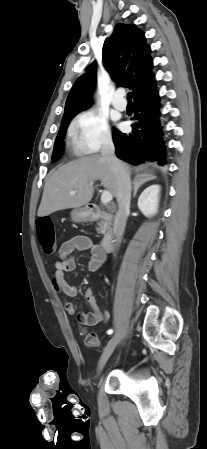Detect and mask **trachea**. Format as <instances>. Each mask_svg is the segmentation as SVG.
Wrapping results in <instances>:
<instances>
[{
    "label": "trachea",
    "mask_w": 207,
    "mask_h": 449,
    "mask_svg": "<svg viewBox=\"0 0 207 449\" xmlns=\"http://www.w3.org/2000/svg\"><path fill=\"white\" fill-rule=\"evenodd\" d=\"M131 99H132V93L129 92V93L127 94V100H128L129 102H131Z\"/></svg>",
    "instance_id": "trachea-1"
}]
</instances>
